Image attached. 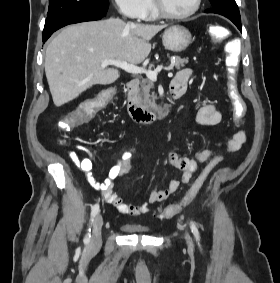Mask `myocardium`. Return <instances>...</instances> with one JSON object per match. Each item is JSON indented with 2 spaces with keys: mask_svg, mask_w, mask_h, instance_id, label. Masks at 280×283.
<instances>
[{
  "mask_svg": "<svg viewBox=\"0 0 280 283\" xmlns=\"http://www.w3.org/2000/svg\"><path fill=\"white\" fill-rule=\"evenodd\" d=\"M202 0H195L193 7L183 14H172L166 11L159 0H151L152 8L155 14L165 20H184L193 16L199 10Z\"/></svg>",
  "mask_w": 280,
  "mask_h": 283,
  "instance_id": "obj_1",
  "label": "myocardium"
}]
</instances>
